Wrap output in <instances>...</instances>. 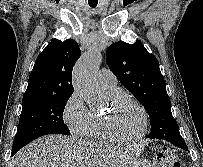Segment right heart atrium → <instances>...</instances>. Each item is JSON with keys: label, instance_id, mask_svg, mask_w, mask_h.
<instances>
[{"label": "right heart atrium", "instance_id": "d8ad5b80", "mask_svg": "<svg viewBox=\"0 0 203 167\" xmlns=\"http://www.w3.org/2000/svg\"><path fill=\"white\" fill-rule=\"evenodd\" d=\"M62 118L71 133L78 136L86 134L91 120V111L77 92H73L66 100Z\"/></svg>", "mask_w": 203, "mask_h": 167}]
</instances>
